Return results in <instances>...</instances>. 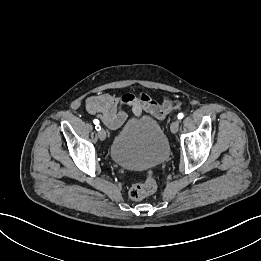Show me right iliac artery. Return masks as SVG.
I'll use <instances>...</instances> for the list:
<instances>
[{
	"instance_id": "right-iliac-artery-1",
	"label": "right iliac artery",
	"mask_w": 261,
	"mask_h": 261,
	"mask_svg": "<svg viewBox=\"0 0 261 261\" xmlns=\"http://www.w3.org/2000/svg\"><path fill=\"white\" fill-rule=\"evenodd\" d=\"M93 123L96 125L95 128H96L97 131L101 130V127H100V125H99L100 122H99L98 119H94V120H93Z\"/></svg>"
}]
</instances>
